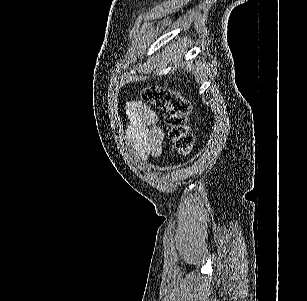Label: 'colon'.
Here are the masks:
<instances>
[{"instance_id": "colon-1", "label": "colon", "mask_w": 307, "mask_h": 301, "mask_svg": "<svg viewBox=\"0 0 307 301\" xmlns=\"http://www.w3.org/2000/svg\"><path fill=\"white\" fill-rule=\"evenodd\" d=\"M141 99L167 113L168 138L179 154H190L194 147V136L188 126L190 102L176 91L154 85L141 90Z\"/></svg>"}]
</instances>
